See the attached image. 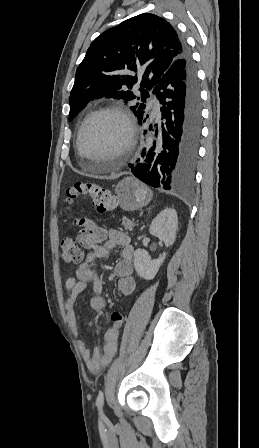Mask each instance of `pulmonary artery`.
Masks as SVG:
<instances>
[{
    "label": "pulmonary artery",
    "mask_w": 259,
    "mask_h": 448,
    "mask_svg": "<svg viewBox=\"0 0 259 448\" xmlns=\"http://www.w3.org/2000/svg\"><path fill=\"white\" fill-rule=\"evenodd\" d=\"M151 104L153 106L154 111L159 112L160 105H159V101L156 98L151 99Z\"/></svg>",
    "instance_id": "e3ab8cb5"
}]
</instances>
